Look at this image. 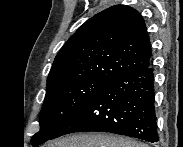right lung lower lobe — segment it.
<instances>
[{
	"instance_id": "obj_1",
	"label": "right lung lower lobe",
	"mask_w": 183,
	"mask_h": 147,
	"mask_svg": "<svg viewBox=\"0 0 183 147\" xmlns=\"http://www.w3.org/2000/svg\"><path fill=\"white\" fill-rule=\"evenodd\" d=\"M154 94L152 66L122 75L70 116L53 139L74 132H109L157 142Z\"/></svg>"
}]
</instances>
